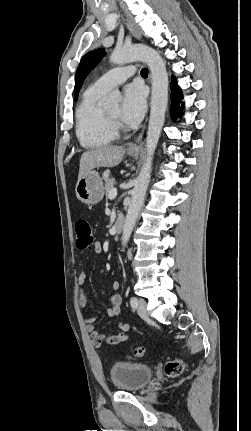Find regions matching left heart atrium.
<instances>
[{
    "mask_svg": "<svg viewBox=\"0 0 251 431\" xmlns=\"http://www.w3.org/2000/svg\"><path fill=\"white\" fill-rule=\"evenodd\" d=\"M146 108V92L139 84H130L124 89L121 117L127 123L138 122Z\"/></svg>",
    "mask_w": 251,
    "mask_h": 431,
    "instance_id": "39dd6f15",
    "label": "left heart atrium"
}]
</instances>
